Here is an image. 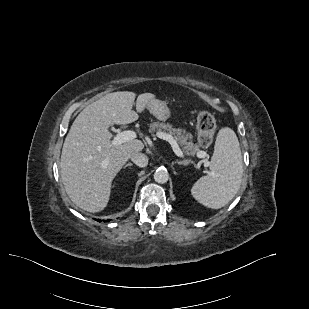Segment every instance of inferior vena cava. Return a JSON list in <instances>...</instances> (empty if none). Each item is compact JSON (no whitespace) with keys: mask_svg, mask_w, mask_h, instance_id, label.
<instances>
[{"mask_svg":"<svg viewBox=\"0 0 309 309\" xmlns=\"http://www.w3.org/2000/svg\"><path fill=\"white\" fill-rule=\"evenodd\" d=\"M131 160L139 167H145L148 164V157L140 152H135L131 156Z\"/></svg>","mask_w":309,"mask_h":309,"instance_id":"obj_1","label":"inferior vena cava"}]
</instances>
